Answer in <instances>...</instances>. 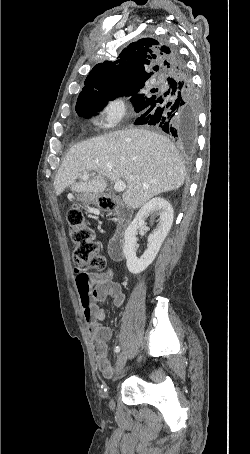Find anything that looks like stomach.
<instances>
[{
	"instance_id": "0dacf381",
	"label": "stomach",
	"mask_w": 250,
	"mask_h": 454,
	"mask_svg": "<svg viewBox=\"0 0 250 454\" xmlns=\"http://www.w3.org/2000/svg\"><path fill=\"white\" fill-rule=\"evenodd\" d=\"M98 194L86 193L82 195V198L87 203H96L98 201Z\"/></svg>"
}]
</instances>
